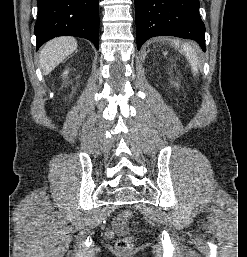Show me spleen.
Wrapping results in <instances>:
<instances>
[{
  "label": "spleen",
  "mask_w": 247,
  "mask_h": 257,
  "mask_svg": "<svg viewBox=\"0 0 247 257\" xmlns=\"http://www.w3.org/2000/svg\"><path fill=\"white\" fill-rule=\"evenodd\" d=\"M173 43L178 46L179 45V40H173ZM182 52L186 56V58L189 61V64L191 66V69L196 75L198 73V67H199V60L197 56L196 50L189 44V43H184L182 46Z\"/></svg>",
  "instance_id": "spleen-1"
}]
</instances>
